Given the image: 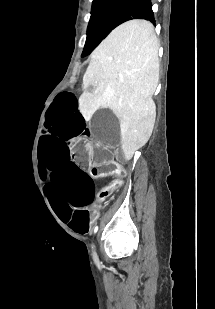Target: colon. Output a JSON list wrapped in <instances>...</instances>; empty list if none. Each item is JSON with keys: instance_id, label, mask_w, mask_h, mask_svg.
I'll use <instances>...</instances> for the list:
<instances>
[{"instance_id": "1", "label": "colon", "mask_w": 215, "mask_h": 309, "mask_svg": "<svg viewBox=\"0 0 215 309\" xmlns=\"http://www.w3.org/2000/svg\"><path fill=\"white\" fill-rule=\"evenodd\" d=\"M102 156H92L93 164L95 165L96 171L99 173H111L115 174L116 177L111 181L110 184L105 186L98 193V200H103L107 198L112 192L117 190L123 184V174L124 171L116 164H114L107 157L103 156V159H100Z\"/></svg>"}]
</instances>
